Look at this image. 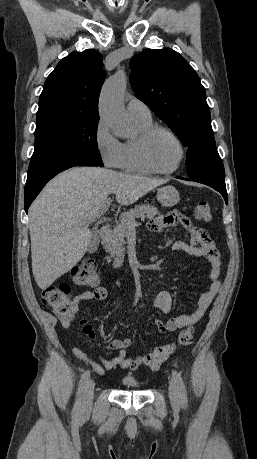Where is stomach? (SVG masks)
<instances>
[{
	"instance_id": "stomach-1",
	"label": "stomach",
	"mask_w": 257,
	"mask_h": 459,
	"mask_svg": "<svg viewBox=\"0 0 257 459\" xmlns=\"http://www.w3.org/2000/svg\"><path fill=\"white\" fill-rule=\"evenodd\" d=\"M157 200L165 207H172L180 200V195L177 189L173 186H164L157 190Z\"/></svg>"
}]
</instances>
